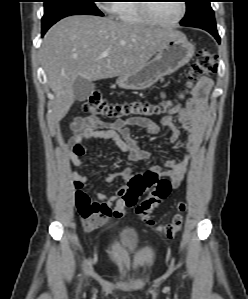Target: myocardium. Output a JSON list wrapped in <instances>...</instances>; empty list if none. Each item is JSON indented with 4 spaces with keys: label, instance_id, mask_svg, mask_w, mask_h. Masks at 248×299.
I'll return each mask as SVG.
<instances>
[{
    "label": "myocardium",
    "instance_id": "f54148a6",
    "mask_svg": "<svg viewBox=\"0 0 248 299\" xmlns=\"http://www.w3.org/2000/svg\"><path fill=\"white\" fill-rule=\"evenodd\" d=\"M179 1H180V5H181L180 6L181 7L180 14L173 21L166 22V21H162L158 17H156L154 15V13L152 12L153 3H143L140 5V9H141L142 13L145 15V17L147 18V20L149 22H151L152 24L159 25V26H165V27H171V26H175V25L179 24L184 19L185 15H186V11H187L186 3L184 0H179ZM144 2H151V1H144Z\"/></svg>",
    "mask_w": 248,
    "mask_h": 299
}]
</instances>
